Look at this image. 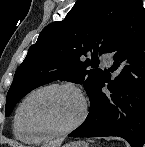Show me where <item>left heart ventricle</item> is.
<instances>
[{"mask_svg":"<svg viewBox=\"0 0 145 147\" xmlns=\"http://www.w3.org/2000/svg\"><path fill=\"white\" fill-rule=\"evenodd\" d=\"M80 111L81 103L75 93L52 89L28 100L22 112V122L30 132L57 131L72 124Z\"/></svg>","mask_w":145,"mask_h":147,"instance_id":"left-heart-ventricle-1","label":"left heart ventricle"}]
</instances>
